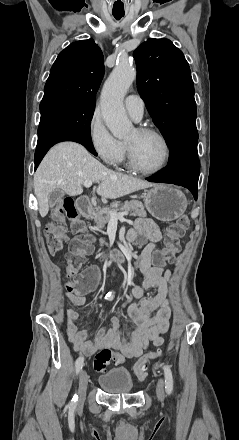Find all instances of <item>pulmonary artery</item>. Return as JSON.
<instances>
[{"mask_svg": "<svg viewBox=\"0 0 239 440\" xmlns=\"http://www.w3.org/2000/svg\"><path fill=\"white\" fill-rule=\"evenodd\" d=\"M125 107L134 120H140L144 112V102L138 95L131 94L125 98Z\"/></svg>", "mask_w": 239, "mask_h": 440, "instance_id": "e3ab8cb5", "label": "pulmonary artery"}]
</instances>
